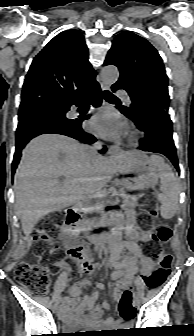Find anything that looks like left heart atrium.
I'll return each instance as SVG.
<instances>
[{"label":"left heart atrium","instance_id":"39dd6f15","mask_svg":"<svg viewBox=\"0 0 194 336\" xmlns=\"http://www.w3.org/2000/svg\"><path fill=\"white\" fill-rule=\"evenodd\" d=\"M125 122L115 111L106 109L94 116L90 121V130L106 139H117L124 131Z\"/></svg>","mask_w":194,"mask_h":336}]
</instances>
